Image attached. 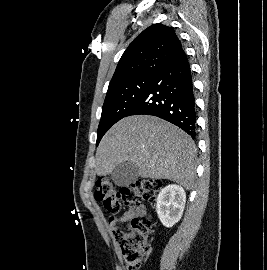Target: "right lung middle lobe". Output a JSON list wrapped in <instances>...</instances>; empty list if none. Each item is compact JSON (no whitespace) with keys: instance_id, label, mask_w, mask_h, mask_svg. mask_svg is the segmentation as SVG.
Here are the masks:
<instances>
[{"instance_id":"right-lung-middle-lobe-1","label":"right lung middle lobe","mask_w":267,"mask_h":270,"mask_svg":"<svg viewBox=\"0 0 267 270\" xmlns=\"http://www.w3.org/2000/svg\"><path fill=\"white\" fill-rule=\"evenodd\" d=\"M153 78L154 75H143L108 89L97 131V145L107 130L133 109Z\"/></svg>"}]
</instances>
